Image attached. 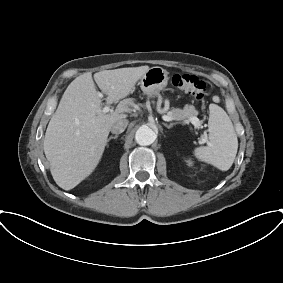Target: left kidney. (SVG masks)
I'll return each mask as SVG.
<instances>
[{
	"label": "left kidney",
	"instance_id": "obj_1",
	"mask_svg": "<svg viewBox=\"0 0 283 283\" xmlns=\"http://www.w3.org/2000/svg\"><path fill=\"white\" fill-rule=\"evenodd\" d=\"M187 162H188L189 166L192 165V161L191 160H188Z\"/></svg>",
	"mask_w": 283,
	"mask_h": 283
}]
</instances>
